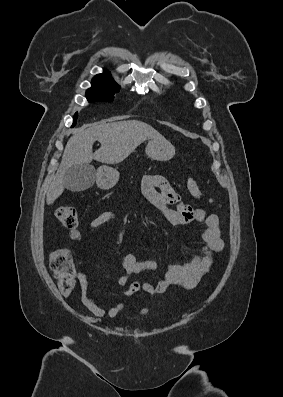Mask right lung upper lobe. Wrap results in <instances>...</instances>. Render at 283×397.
<instances>
[{"mask_svg":"<svg viewBox=\"0 0 283 397\" xmlns=\"http://www.w3.org/2000/svg\"><path fill=\"white\" fill-rule=\"evenodd\" d=\"M108 81L114 82L110 72L106 70L102 74H98L92 79V82H108Z\"/></svg>","mask_w":283,"mask_h":397,"instance_id":"cb5924a9","label":"right lung upper lobe"}]
</instances>
